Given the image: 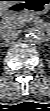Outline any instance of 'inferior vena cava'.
<instances>
[{"mask_svg":"<svg viewBox=\"0 0 50 111\" xmlns=\"http://www.w3.org/2000/svg\"><path fill=\"white\" fill-rule=\"evenodd\" d=\"M19 31L18 30H7L5 32L2 33L1 37L5 40V41H12L15 40L16 38H18L19 36Z\"/></svg>","mask_w":50,"mask_h":111,"instance_id":"1","label":"inferior vena cava"}]
</instances>
